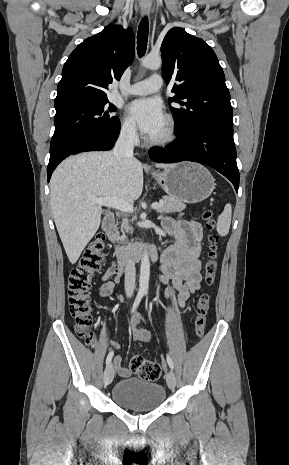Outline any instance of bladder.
Masks as SVG:
<instances>
[{
  "instance_id": "1",
  "label": "bladder",
  "mask_w": 289,
  "mask_h": 465,
  "mask_svg": "<svg viewBox=\"0 0 289 465\" xmlns=\"http://www.w3.org/2000/svg\"><path fill=\"white\" fill-rule=\"evenodd\" d=\"M112 399L119 406L131 410H153L166 398L165 388L151 381L131 377L119 380L112 389Z\"/></svg>"
}]
</instances>
